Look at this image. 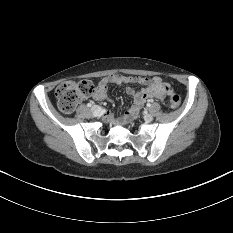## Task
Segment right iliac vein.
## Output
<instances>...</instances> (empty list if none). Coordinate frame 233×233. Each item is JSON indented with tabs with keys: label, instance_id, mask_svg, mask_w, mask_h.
I'll return each mask as SVG.
<instances>
[{
	"label": "right iliac vein",
	"instance_id": "1",
	"mask_svg": "<svg viewBox=\"0 0 233 233\" xmlns=\"http://www.w3.org/2000/svg\"><path fill=\"white\" fill-rule=\"evenodd\" d=\"M91 112L94 116H97L100 114L101 112V107L98 106V105H94L92 108H91Z\"/></svg>",
	"mask_w": 233,
	"mask_h": 233
}]
</instances>
